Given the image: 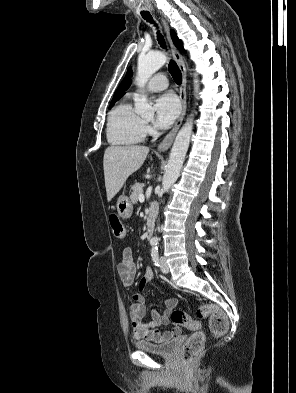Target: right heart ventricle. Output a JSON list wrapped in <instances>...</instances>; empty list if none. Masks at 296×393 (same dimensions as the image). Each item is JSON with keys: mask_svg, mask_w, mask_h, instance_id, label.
Returning a JSON list of instances; mask_svg holds the SVG:
<instances>
[{"mask_svg": "<svg viewBox=\"0 0 296 393\" xmlns=\"http://www.w3.org/2000/svg\"><path fill=\"white\" fill-rule=\"evenodd\" d=\"M143 120L136 114L130 101H122L110 112L107 140L115 146L128 147L141 143L145 137Z\"/></svg>", "mask_w": 296, "mask_h": 393, "instance_id": "right-heart-ventricle-1", "label": "right heart ventricle"}]
</instances>
